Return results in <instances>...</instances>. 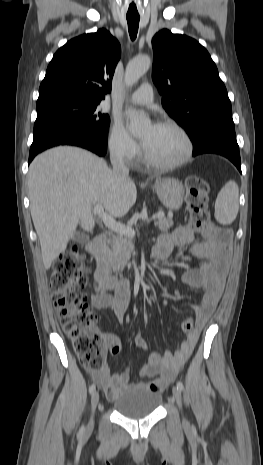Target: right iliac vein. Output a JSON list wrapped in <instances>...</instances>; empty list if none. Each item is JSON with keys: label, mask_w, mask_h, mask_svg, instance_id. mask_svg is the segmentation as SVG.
<instances>
[{"label": "right iliac vein", "mask_w": 263, "mask_h": 465, "mask_svg": "<svg viewBox=\"0 0 263 465\" xmlns=\"http://www.w3.org/2000/svg\"><path fill=\"white\" fill-rule=\"evenodd\" d=\"M98 402H99V393L97 391H94L91 397V419L88 424V430L91 429L93 426V417H94V413L97 408Z\"/></svg>", "instance_id": "obj_1"}]
</instances>
